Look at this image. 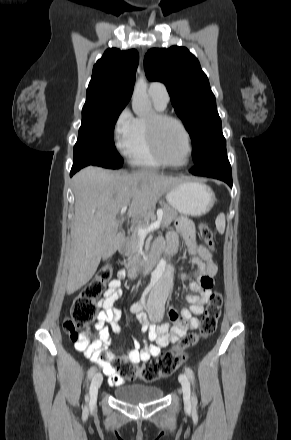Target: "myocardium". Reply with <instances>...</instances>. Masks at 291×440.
Listing matches in <instances>:
<instances>
[{
    "label": "myocardium",
    "mask_w": 291,
    "mask_h": 440,
    "mask_svg": "<svg viewBox=\"0 0 291 440\" xmlns=\"http://www.w3.org/2000/svg\"><path fill=\"white\" fill-rule=\"evenodd\" d=\"M167 121H171V122L177 124L185 135L186 144H187V155H186V159L181 163H172V162L167 161L163 157V155L160 151V148L158 145V138H157L158 137V130H159L160 126ZM145 126H146L147 137H148L151 151H152L154 157L163 166L171 167V168H183L188 165V163L190 162V159L192 157V154H193L192 140H191V135H190L187 127L179 118L172 116V115H169V114H166V113H163V112L155 111L151 114V116L146 118Z\"/></svg>",
    "instance_id": "1"
}]
</instances>
